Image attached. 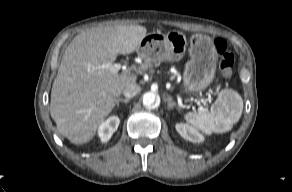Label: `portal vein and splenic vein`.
<instances>
[{
    "label": "portal vein and splenic vein",
    "instance_id": "obj_1",
    "mask_svg": "<svg viewBox=\"0 0 292 192\" xmlns=\"http://www.w3.org/2000/svg\"><path fill=\"white\" fill-rule=\"evenodd\" d=\"M122 68V65L120 63H115V64H111L109 66V70L112 73H118V71Z\"/></svg>",
    "mask_w": 292,
    "mask_h": 192
}]
</instances>
